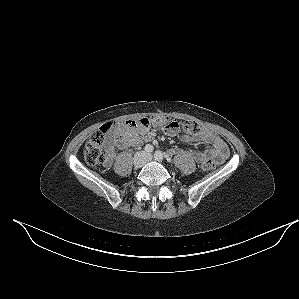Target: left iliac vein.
<instances>
[{"label":"left iliac vein","mask_w":299,"mask_h":299,"mask_svg":"<svg viewBox=\"0 0 299 299\" xmlns=\"http://www.w3.org/2000/svg\"><path fill=\"white\" fill-rule=\"evenodd\" d=\"M146 160L147 161H152V156L151 155H147Z\"/></svg>","instance_id":"left-iliac-vein-1"}]
</instances>
